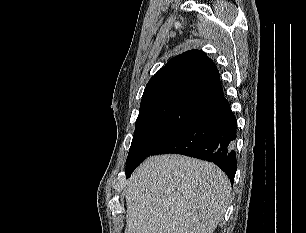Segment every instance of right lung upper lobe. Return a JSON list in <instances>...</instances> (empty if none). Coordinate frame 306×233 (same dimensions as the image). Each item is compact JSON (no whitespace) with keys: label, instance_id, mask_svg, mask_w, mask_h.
<instances>
[{"label":"right lung upper lobe","instance_id":"obj_1","mask_svg":"<svg viewBox=\"0 0 306 233\" xmlns=\"http://www.w3.org/2000/svg\"><path fill=\"white\" fill-rule=\"evenodd\" d=\"M219 72L199 50L172 58L148 82L141 106L161 100H185L203 107L223 97Z\"/></svg>","mask_w":306,"mask_h":233}]
</instances>
